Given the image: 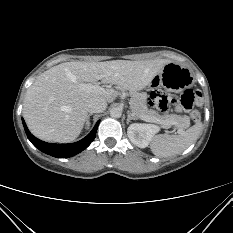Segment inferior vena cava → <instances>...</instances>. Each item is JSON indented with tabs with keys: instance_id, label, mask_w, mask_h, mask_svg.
<instances>
[{
	"instance_id": "1",
	"label": "inferior vena cava",
	"mask_w": 233,
	"mask_h": 233,
	"mask_svg": "<svg viewBox=\"0 0 233 233\" xmlns=\"http://www.w3.org/2000/svg\"><path fill=\"white\" fill-rule=\"evenodd\" d=\"M85 108L90 113H100L106 110L107 103L104 99L90 97L85 101Z\"/></svg>"
}]
</instances>
